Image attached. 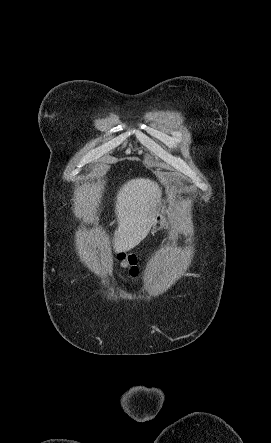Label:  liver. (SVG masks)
I'll return each mask as SVG.
<instances>
[{"label": "liver", "mask_w": 271, "mask_h": 443, "mask_svg": "<svg viewBox=\"0 0 271 443\" xmlns=\"http://www.w3.org/2000/svg\"><path fill=\"white\" fill-rule=\"evenodd\" d=\"M160 202L161 190L156 182L136 178L121 186L116 196L118 227L113 237V247L117 253L129 251L146 237L155 223Z\"/></svg>", "instance_id": "1"}]
</instances>
